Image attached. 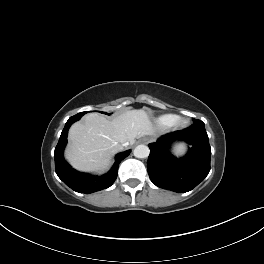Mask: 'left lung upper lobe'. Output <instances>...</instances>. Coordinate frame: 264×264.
<instances>
[{
  "mask_svg": "<svg viewBox=\"0 0 264 264\" xmlns=\"http://www.w3.org/2000/svg\"><path fill=\"white\" fill-rule=\"evenodd\" d=\"M193 122H194V123H202V121H200V120H196V119H193Z\"/></svg>",
  "mask_w": 264,
  "mask_h": 264,
  "instance_id": "left-lung-upper-lobe-1",
  "label": "left lung upper lobe"
}]
</instances>
